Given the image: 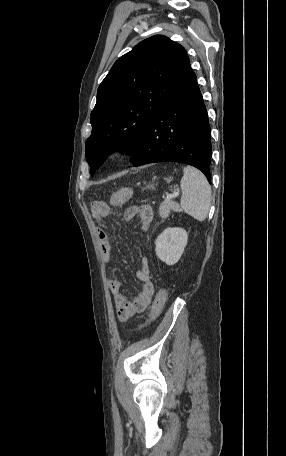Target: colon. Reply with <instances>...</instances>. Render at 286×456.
<instances>
[{
  "label": "colon",
  "mask_w": 286,
  "mask_h": 456,
  "mask_svg": "<svg viewBox=\"0 0 286 456\" xmlns=\"http://www.w3.org/2000/svg\"><path fill=\"white\" fill-rule=\"evenodd\" d=\"M132 194H133V190L130 188H125V189L119 190L111 196L110 203L94 202L93 209L97 212H101V211L107 210L109 208L110 204H113V205L123 204L131 198ZM167 298H168L167 290L166 289L159 290V292L157 293V295L155 297L151 310H150L149 321L155 319L161 313L162 309L165 306Z\"/></svg>",
  "instance_id": "obj_1"
}]
</instances>
